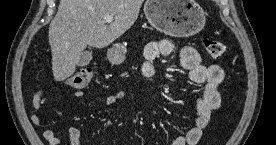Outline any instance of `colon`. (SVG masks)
<instances>
[{
    "mask_svg": "<svg viewBox=\"0 0 276 145\" xmlns=\"http://www.w3.org/2000/svg\"><path fill=\"white\" fill-rule=\"evenodd\" d=\"M203 44L209 56L214 59L220 58L225 52V45L216 39L205 38ZM92 74L90 67L79 68L67 78V83L74 88H84L90 83Z\"/></svg>",
    "mask_w": 276,
    "mask_h": 145,
    "instance_id": "1",
    "label": "colon"
}]
</instances>
